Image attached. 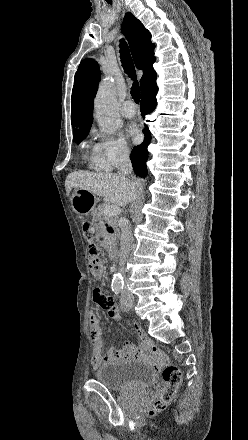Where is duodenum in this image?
I'll return each instance as SVG.
<instances>
[{"instance_id": "obj_1", "label": "duodenum", "mask_w": 248, "mask_h": 440, "mask_svg": "<svg viewBox=\"0 0 248 440\" xmlns=\"http://www.w3.org/2000/svg\"><path fill=\"white\" fill-rule=\"evenodd\" d=\"M108 252L111 258H114L117 255V247L115 245L109 246Z\"/></svg>"}]
</instances>
